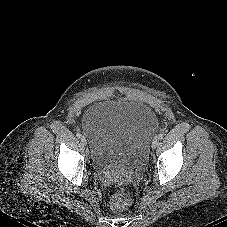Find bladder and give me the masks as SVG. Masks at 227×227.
<instances>
[{
	"mask_svg": "<svg viewBox=\"0 0 227 227\" xmlns=\"http://www.w3.org/2000/svg\"><path fill=\"white\" fill-rule=\"evenodd\" d=\"M158 127L156 114L130 100H105L89 107L82 130L91 142V158L97 171L142 168Z\"/></svg>",
	"mask_w": 227,
	"mask_h": 227,
	"instance_id": "bladder-1",
	"label": "bladder"
}]
</instances>
